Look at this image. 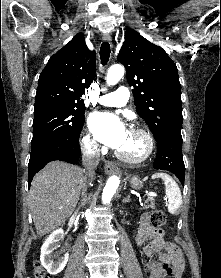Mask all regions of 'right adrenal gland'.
<instances>
[{
	"instance_id": "2a0ac1e0",
	"label": "right adrenal gland",
	"mask_w": 221,
	"mask_h": 278,
	"mask_svg": "<svg viewBox=\"0 0 221 278\" xmlns=\"http://www.w3.org/2000/svg\"><path fill=\"white\" fill-rule=\"evenodd\" d=\"M85 201H86V194L84 195V199H83L82 205H84Z\"/></svg>"
}]
</instances>
